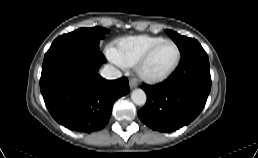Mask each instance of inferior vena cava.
<instances>
[{"instance_id":"obj_1","label":"inferior vena cava","mask_w":258,"mask_h":158,"mask_svg":"<svg viewBox=\"0 0 258 158\" xmlns=\"http://www.w3.org/2000/svg\"><path fill=\"white\" fill-rule=\"evenodd\" d=\"M101 76L107 80L118 79L122 76L120 70L112 65H106L100 72Z\"/></svg>"}]
</instances>
